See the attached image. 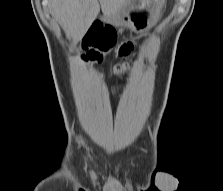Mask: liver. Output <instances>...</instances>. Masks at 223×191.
<instances>
[{
    "mask_svg": "<svg viewBox=\"0 0 223 191\" xmlns=\"http://www.w3.org/2000/svg\"><path fill=\"white\" fill-rule=\"evenodd\" d=\"M100 2V5H99ZM50 0L51 14L68 37L81 38L100 12L114 14L129 0Z\"/></svg>",
    "mask_w": 223,
    "mask_h": 191,
    "instance_id": "liver-1",
    "label": "liver"
}]
</instances>
